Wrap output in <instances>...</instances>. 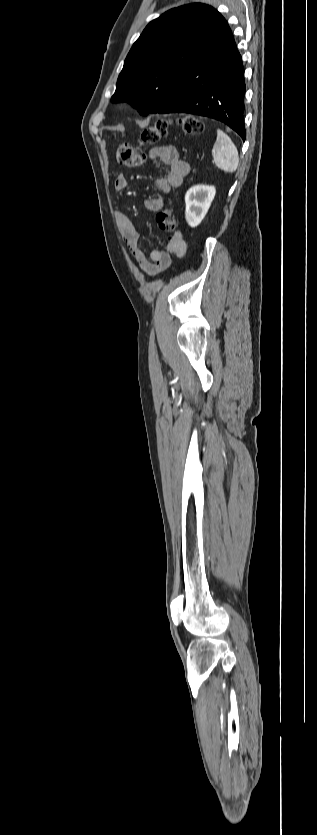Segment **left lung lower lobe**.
I'll use <instances>...</instances> for the list:
<instances>
[{"label": "left lung lower lobe", "mask_w": 317, "mask_h": 835, "mask_svg": "<svg viewBox=\"0 0 317 835\" xmlns=\"http://www.w3.org/2000/svg\"><path fill=\"white\" fill-rule=\"evenodd\" d=\"M244 67L232 32L223 18L208 43L185 69L174 98L154 113H190L219 120L243 141Z\"/></svg>", "instance_id": "0a47b994"}]
</instances>
